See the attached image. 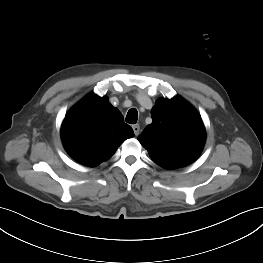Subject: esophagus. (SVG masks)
Here are the masks:
<instances>
[{
	"label": "esophagus",
	"instance_id": "34e87169",
	"mask_svg": "<svg viewBox=\"0 0 263 263\" xmlns=\"http://www.w3.org/2000/svg\"><path fill=\"white\" fill-rule=\"evenodd\" d=\"M132 128H133L134 134L138 136L140 133V126L138 124H135L132 126Z\"/></svg>",
	"mask_w": 263,
	"mask_h": 263
}]
</instances>
